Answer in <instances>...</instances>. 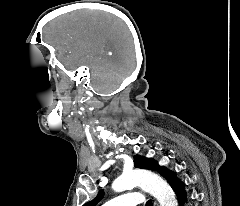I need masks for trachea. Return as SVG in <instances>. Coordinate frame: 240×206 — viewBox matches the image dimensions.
I'll return each mask as SVG.
<instances>
[{"instance_id": "1", "label": "trachea", "mask_w": 240, "mask_h": 206, "mask_svg": "<svg viewBox=\"0 0 240 206\" xmlns=\"http://www.w3.org/2000/svg\"><path fill=\"white\" fill-rule=\"evenodd\" d=\"M146 206H152V203H151V201L149 200V201H147V203H146Z\"/></svg>"}]
</instances>
